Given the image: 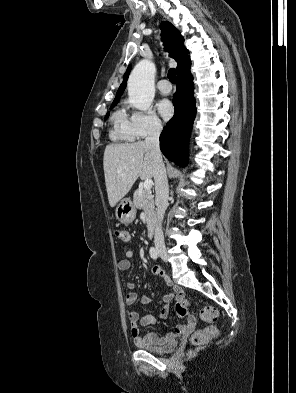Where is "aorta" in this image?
<instances>
[{
  "label": "aorta",
  "instance_id": "obj_1",
  "mask_svg": "<svg viewBox=\"0 0 296 393\" xmlns=\"http://www.w3.org/2000/svg\"><path fill=\"white\" fill-rule=\"evenodd\" d=\"M155 71V65L151 61L143 59L134 67L129 76V100L138 110L147 111L153 102Z\"/></svg>",
  "mask_w": 296,
  "mask_h": 393
}]
</instances>
